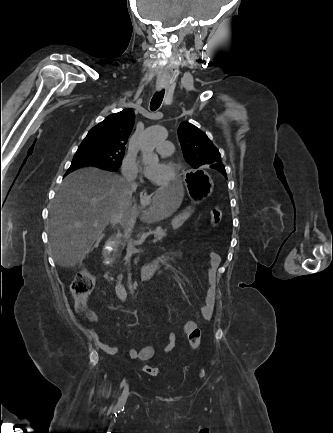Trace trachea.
I'll list each match as a JSON object with an SVG mask.
<instances>
[{
	"instance_id": "obj_1",
	"label": "trachea",
	"mask_w": 333,
	"mask_h": 433,
	"mask_svg": "<svg viewBox=\"0 0 333 433\" xmlns=\"http://www.w3.org/2000/svg\"><path fill=\"white\" fill-rule=\"evenodd\" d=\"M163 97H164V90H162L160 92H157L153 96V98L151 100V103H150V109L152 111H155V110H157L160 107V105H161V103L163 101Z\"/></svg>"
}]
</instances>
